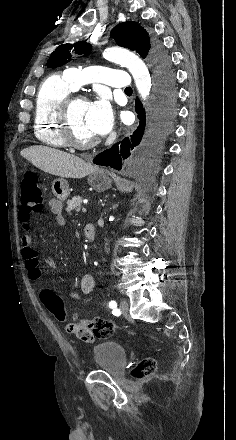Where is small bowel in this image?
Wrapping results in <instances>:
<instances>
[{"label":"small bowel","mask_w":236,"mask_h":440,"mask_svg":"<svg viewBox=\"0 0 236 440\" xmlns=\"http://www.w3.org/2000/svg\"><path fill=\"white\" fill-rule=\"evenodd\" d=\"M49 207L51 212L56 216L57 222L62 224L64 222V218L62 215L63 204L59 199H52L49 203ZM22 226L25 230L29 229V221L22 220ZM21 246H22V257L26 263V269L28 270L29 276L33 280H39L42 276V270L39 264V258L37 252L31 246V237L28 234H24L21 237ZM46 262L51 265L52 262L50 259H46ZM95 285L94 277L86 273L81 277L80 281V291L71 292V296L75 299H79L81 295L89 294ZM44 290L41 291V293ZM40 293V299L44 304ZM86 324H68L65 327V330L68 333H75L76 339H89L92 336L91 331L87 330Z\"/></svg>","instance_id":"small-bowel-1"}]
</instances>
